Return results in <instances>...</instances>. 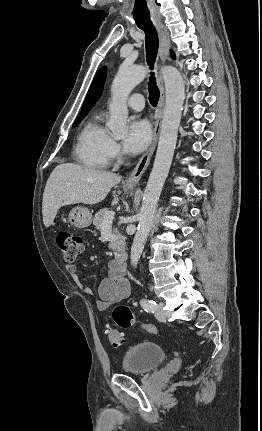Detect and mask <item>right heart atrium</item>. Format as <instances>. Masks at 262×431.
<instances>
[{
  "label": "right heart atrium",
  "mask_w": 262,
  "mask_h": 431,
  "mask_svg": "<svg viewBox=\"0 0 262 431\" xmlns=\"http://www.w3.org/2000/svg\"><path fill=\"white\" fill-rule=\"evenodd\" d=\"M107 153H108L109 160L114 159L119 153V145L112 138L108 142Z\"/></svg>",
  "instance_id": "1"
}]
</instances>
